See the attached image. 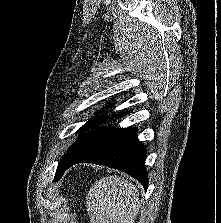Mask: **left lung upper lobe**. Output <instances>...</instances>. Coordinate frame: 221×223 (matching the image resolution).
<instances>
[{
    "label": "left lung upper lobe",
    "mask_w": 221,
    "mask_h": 223,
    "mask_svg": "<svg viewBox=\"0 0 221 223\" xmlns=\"http://www.w3.org/2000/svg\"><path fill=\"white\" fill-rule=\"evenodd\" d=\"M109 106H113L110 104ZM128 112H124L122 114L116 115L122 116L127 114ZM106 120L104 115L98 116L95 119L87 122L84 124L79 131H81V136L76 140V142L70 146L68 152L66 155L61 159L60 163L58 164V168L56 170V175L54 180L58 181L64 172L66 171L68 165L71 161H73L79 154H81L86 148H88L108 127H99L100 124H102ZM97 128L96 131H93L92 133L83 134L86 130H89L90 128Z\"/></svg>",
    "instance_id": "left-lung-upper-lobe-1"
}]
</instances>
